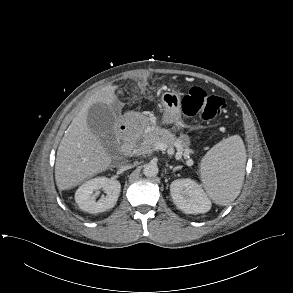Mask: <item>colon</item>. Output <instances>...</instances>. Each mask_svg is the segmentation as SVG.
I'll return each mask as SVG.
<instances>
[{"mask_svg":"<svg viewBox=\"0 0 293 293\" xmlns=\"http://www.w3.org/2000/svg\"><path fill=\"white\" fill-rule=\"evenodd\" d=\"M226 107L223 98L208 94L199 86L191 87L182 101V109L187 116L200 117L207 121L218 118Z\"/></svg>","mask_w":293,"mask_h":293,"instance_id":"colon-1","label":"colon"}]
</instances>
